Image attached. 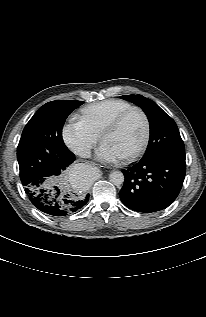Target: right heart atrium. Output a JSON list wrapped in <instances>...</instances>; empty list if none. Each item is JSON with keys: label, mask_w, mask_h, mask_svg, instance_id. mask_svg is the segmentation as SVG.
Masks as SVG:
<instances>
[{"label": "right heart atrium", "mask_w": 206, "mask_h": 317, "mask_svg": "<svg viewBox=\"0 0 206 317\" xmlns=\"http://www.w3.org/2000/svg\"><path fill=\"white\" fill-rule=\"evenodd\" d=\"M65 144L77 155L87 156L98 142L95 135L80 118H69L62 128Z\"/></svg>", "instance_id": "right-heart-atrium-1"}]
</instances>
